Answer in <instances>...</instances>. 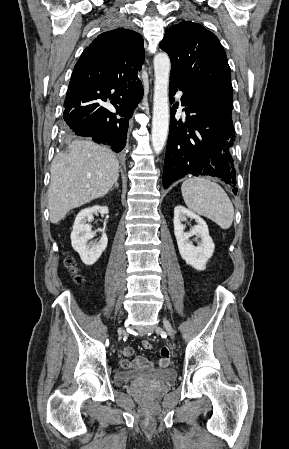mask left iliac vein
<instances>
[{
  "label": "left iliac vein",
  "instance_id": "4c4485c4",
  "mask_svg": "<svg viewBox=\"0 0 289 449\" xmlns=\"http://www.w3.org/2000/svg\"><path fill=\"white\" fill-rule=\"evenodd\" d=\"M163 325H164V328H165V330L167 331L168 335H169L172 339H174L173 328H172L170 322H169L166 318L163 319Z\"/></svg>",
  "mask_w": 289,
  "mask_h": 449
}]
</instances>
